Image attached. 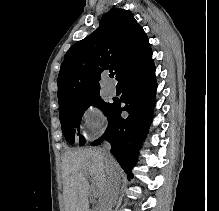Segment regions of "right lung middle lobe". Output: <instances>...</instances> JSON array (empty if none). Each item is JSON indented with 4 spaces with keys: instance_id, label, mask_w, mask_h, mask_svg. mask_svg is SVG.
Here are the masks:
<instances>
[{
    "instance_id": "1",
    "label": "right lung middle lobe",
    "mask_w": 219,
    "mask_h": 211,
    "mask_svg": "<svg viewBox=\"0 0 219 211\" xmlns=\"http://www.w3.org/2000/svg\"><path fill=\"white\" fill-rule=\"evenodd\" d=\"M94 105L100 108L108 116L113 104L106 103L100 94L92 95L87 98L74 102L59 105V117L63 133L66 140L73 144L75 141V130H80V122L85 110ZM80 145H84V137L80 136Z\"/></svg>"
}]
</instances>
